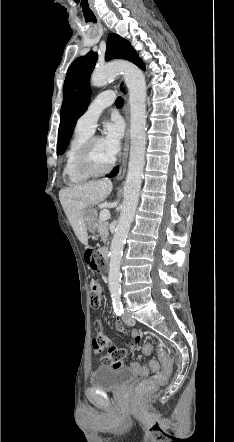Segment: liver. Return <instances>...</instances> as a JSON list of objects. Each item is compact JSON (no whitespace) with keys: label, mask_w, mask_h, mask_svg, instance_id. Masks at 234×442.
<instances>
[{"label":"liver","mask_w":234,"mask_h":442,"mask_svg":"<svg viewBox=\"0 0 234 442\" xmlns=\"http://www.w3.org/2000/svg\"><path fill=\"white\" fill-rule=\"evenodd\" d=\"M111 180L105 178L83 185L67 187L59 192V199L79 241L87 246L88 234L84 223L86 209L104 201L112 191Z\"/></svg>","instance_id":"obj_1"}]
</instances>
